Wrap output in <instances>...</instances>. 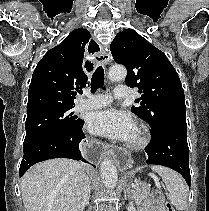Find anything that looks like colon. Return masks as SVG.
I'll return each instance as SVG.
<instances>
[{"mask_svg": "<svg viewBox=\"0 0 209 211\" xmlns=\"http://www.w3.org/2000/svg\"><path fill=\"white\" fill-rule=\"evenodd\" d=\"M165 211H175V209L169 202H166L165 203Z\"/></svg>", "mask_w": 209, "mask_h": 211, "instance_id": "1", "label": "colon"}]
</instances>
